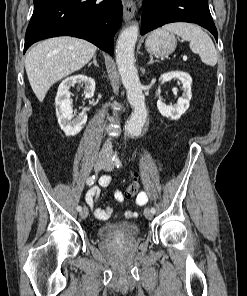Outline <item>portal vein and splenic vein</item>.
I'll list each match as a JSON object with an SVG mask.
<instances>
[{"instance_id": "obj_1", "label": "portal vein and splenic vein", "mask_w": 247, "mask_h": 296, "mask_svg": "<svg viewBox=\"0 0 247 296\" xmlns=\"http://www.w3.org/2000/svg\"><path fill=\"white\" fill-rule=\"evenodd\" d=\"M183 60L186 61L187 60V56H183Z\"/></svg>"}]
</instances>
